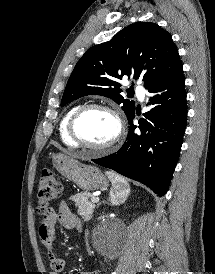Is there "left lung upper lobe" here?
Instances as JSON below:
<instances>
[{
    "label": "left lung upper lobe",
    "instance_id": "1",
    "mask_svg": "<svg viewBox=\"0 0 215 274\" xmlns=\"http://www.w3.org/2000/svg\"><path fill=\"white\" fill-rule=\"evenodd\" d=\"M181 65L169 32L156 23L131 24L110 41L91 47L80 58L67 82L61 106L86 95H101L123 104L128 118L135 111V103L120 94L119 79L141 78L147 88L167 78Z\"/></svg>",
    "mask_w": 215,
    "mask_h": 274
}]
</instances>
